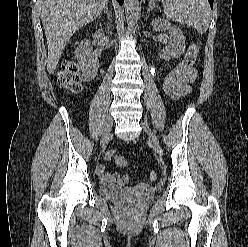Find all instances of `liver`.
Masks as SVG:
<instances>
[{
  "label": "liver",
  "mask_w": 248,
  "mask_h": 247,
  "mask_svg": "<svg viewBox=\"0 0 248 247\" xmlns=\"http://www.w3.org/2000/svg\"><path fill=\"white\" fill-rule=\"evenodd\" d=\"M108 0H38L47 45V71L53 74L73 34L98 17Z\"/></svg>",
  "instance_id": "6515ba94"
}]
</instances>
